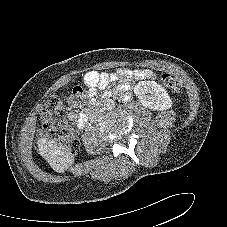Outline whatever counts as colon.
<instances>
[{
	"mask_svg": "<svg viewBox=\"0 0 227 227\" xmlns=\"http://www.w3.org/2000/svg\"><path fill=\"white\" fill-rule=\"evenodd\" d=\"M163 82L169 90L176 93L181 91L182 86L176 76L164 74ZM85 97V90L81 86H75L70 91L69 101L79 105L83 103ZM40 117L46 134L52 141L63 145L72 153L78 152L79 140L68 124L67 110L59 97L51 96L44 102Z\"/></svg>",
	"mask_w": 227,
	"mask_h": 227,
	"instance_id": "5ec220e1",
	"label": "colon"
}]
</instances>
